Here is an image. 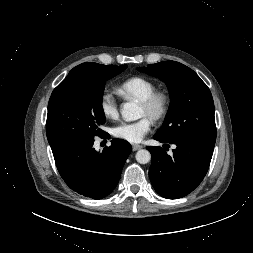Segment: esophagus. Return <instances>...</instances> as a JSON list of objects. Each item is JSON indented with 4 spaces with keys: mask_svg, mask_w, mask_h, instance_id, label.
<instances>
[{
    "mask_svg": "<svg viewBox=\"0 0 253 253\" xmlns=\"http://www.w3.org/2000/svg\"><path fill=\"white\" fill-rule=\"evenodd\" d=\"M142 148V145H140V144H133L132 145V150L133 151H137V150H139V149H141Z\"/></svg>",
    "mask_w": 253,
    "mask_h": 253,
    "instance_id": "34e87169",
    "label": "esophagus"
}]
</instances>
